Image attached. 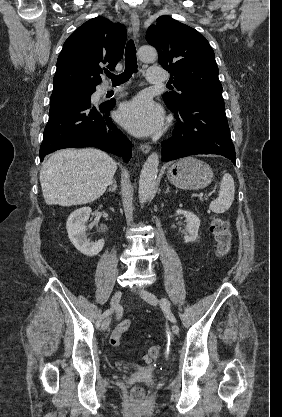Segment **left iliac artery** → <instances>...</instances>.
I'll return each mask as SVG.
<instances>
[{
	"instance_id": "1",
	"label": "left iliac artery",
	"mask_w": 282,
	"mask_h": 417,
	"mask_svg": "<svg viewBox=\"0 0 282 417\" xmlns=\"http://www.w3.org/2000/svg\"><path fill=\"white\" fill-rule=\"evenodd\" d=\"M160 305H161L162 310L166 313L169 320L172 321L173 323H176L177 322L176 318L170 312V302H169V300L166 299V298H162Z\"/></svg>"
}]
</instances>
